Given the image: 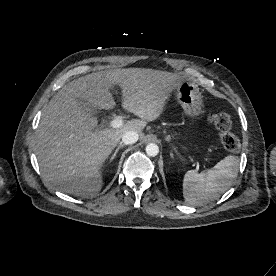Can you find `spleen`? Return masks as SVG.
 <instances>
[{"label":"spleen","mask_w":276,"mask_h":276,"mask_svg":"<svg viewBox=\"0 0 276 276\" xmlns=\"http://www.w3.org/2000/svg\"><path fill=\"white\" fill-rule=\"evenodd\" d=\"M239 159L229 155L213 168L197 173L188 171L183 178V197L189 205L200 206L225 193L236 178Z\"/></svg>","instance_id":"3e777b00"}]
</instances>
